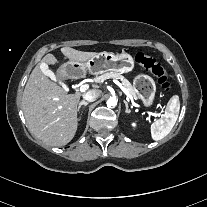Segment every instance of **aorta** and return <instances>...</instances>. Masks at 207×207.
<instances>
[{
	"instance_id": "aorta-1",
	"label": "aorta",
	"mask_w": 207,
	"mask_h": 207,
	"mask_svg": "<svg viewBox=\"0 0 207 207\" xmlns=\"http://www.w3.org/2000/svg\"><path fill=\"white\" fill-rule=\"evenodd\" d=\"M115 106H116L115 103H113V102H109V103L107 104V110H108L109 112H114V108H115Z\"/></svg>"
}]
</instances>
